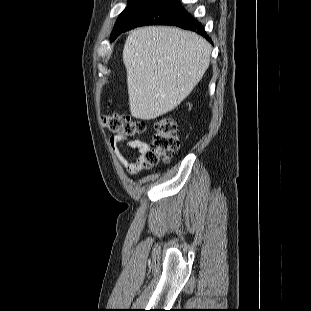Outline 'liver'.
Instances as JSON below:
<instances>
[{
	"label": "liver",
	"mask_w": 311,
	"mask_h": 311,
	"mask_svg": "<svg viewBox=\"0 0 311 311\" xmlns=\"http://www.w3.org/2000/svg\"><path fill=\"white\" fill-rule=\"evenodd\" d=\"M211 50L204 38L179 28L133 30L123 49L131 115L151 120L175 109L203 77Z\"/></svg>",
	"instance_id": "obj_1"
}]
</instances>
